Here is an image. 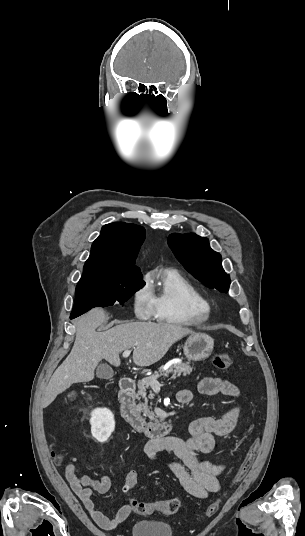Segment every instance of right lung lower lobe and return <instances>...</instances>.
<instances>
[{
  "instance_id": "1",
  "label": "right lung lower lobe",
  "mask_w": 305,
  "mask_h": 536,
  "mask_svg": "<svg viewBox=\"0 0 305 536\" xmlns=\"http://www.w3.org/2000/svg\"><path fill=\"white\" fill-rule=\"evenodd\" d=\"M76 317H78V316L77 315H72V314L70 316L71 319L76 318Z\"/></svg>"
}]
</instances>
